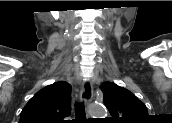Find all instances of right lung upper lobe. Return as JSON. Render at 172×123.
<instances>
[{
  "instance_id": "obj_1",
  "label": "right lung upper lobe",
  "mask_w": 172,
  "mask_h": 123,
  "mask_svg": "<svg viewBox=\"0 0 172 123\" xmlns=\"http://www.w3.org/2000/svg\"><path fill=\"white\" fill-rule=\"evenodd\" d=\"M71 86L56 82L39 90L23 108L19 123H64L71 111Z\"/></svg>"
}]
</instances>
